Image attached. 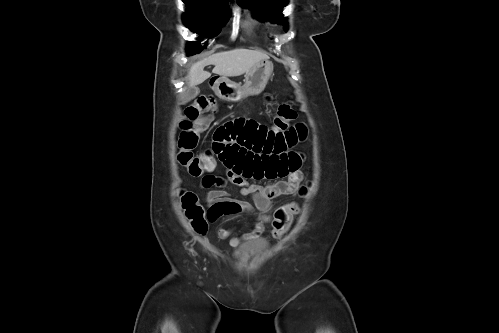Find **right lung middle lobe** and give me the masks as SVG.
Segmentation results:
<instances>
[{
  "mask_svg": "<svg viewBox=\"0 0 499 333\" xmlns=\"http://www.w3.org/2000/svg\"><path fill=\"white\" fill-rule=\"evenodd\" d=\"M229 1L184 0L188 11L184 15L185 25L193 32L217 35L230 17ZM200 42L189 44L187 53L193 55L202 51Z\"/></svg>",
  "mask_w": 499,
  "mask_h": 333,
  "instance_id": "right-lung-middle-lobe-1",
  "label": "right lung middle lobe"
}]
</instances>
